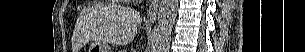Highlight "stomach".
<instances>
[{"label":"stomach","instance_id":"stomach-1","mask_svg":"<svg viewBox=\"0 0 305 52\" xmlns=\"http://www.w3.org/2000/svg\"><path fill=\"white\" fill-rule=\"evenodd\" d=\"M88 52H111L109 46L105 42L93 41Z\"/></svg>","mask_w":305,"mask_h":52}]
</instances>
